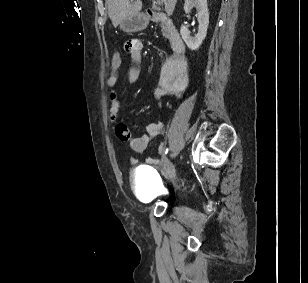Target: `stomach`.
Instances as JSON below:
<instances>
[{
  "label": "stomach",
  "mask_w": 308,
  "mask_h": 283,
  "mask_svg": "<svg viewBox=\"0 0 308 283\" xmlns=\"http://www.w3.org/2000/svg\"><path fill=\"white\" fill-rule=\"evenodd\" d=\"M148 25V18L143 13H138L124 18L119 26L120 29L127 33L138 32L145 29Z\"/></svg>",
  "instance_id": "obj_1"
}]
</instances>
